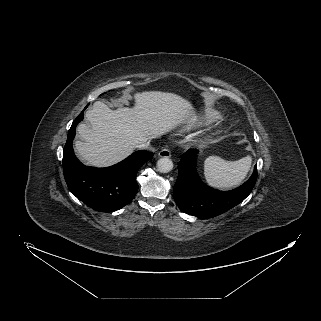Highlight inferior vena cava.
<instances>
[{
	"label": "inferior vena cava",
	"mask_w": 321,
	"mask_h": 321,
	"mask_svg": "<svg viewBox=\"0 0 321 321\" xmlns=\"http://www.w3.org/2000/svg\"><path fill=\"white\" fill-rule=\"evenodd\" d=\"M136 147H137V148H140V149H146V150L155 151V150L150 146V141L141 143V144L137 145Z\"/></svg>",
	"instance_id": "602c4592"
}]
</instances>
